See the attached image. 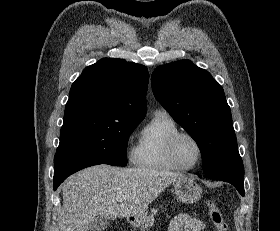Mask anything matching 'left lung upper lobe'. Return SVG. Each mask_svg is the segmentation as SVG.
<instances>
[{"label": "left lung upper lobe", "instance_id": "1", "mask_svg": "<svg viewBox=\"0 0 280 231\" xmlns=\"http://www.w3.org/2000/svg\"><path fill=\"white\" fill-rule=\"evenodd\" d=\"M151 82L156 99L198 144L204 173L239 155L223 88L208 71L180 60L158 66Z\"/></svg>", "mask_w": 280, "mask_h": 231}]
</instances>
